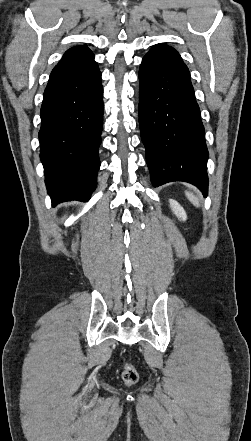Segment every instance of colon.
<instances>
[{
	"instance_id": "colon-1",
	"label": "colon",
	"mask_w": 251,
	"mask_h": 441,
	"mask_svg": "<svg viewBox=\"0 0 251 441\" xmlns=\"http://www.w3.org/2000/svg\"><path fill=\"white\" fill-rule=\"evenodd\" d=\"M138 377L139 376L136 368L130 363H125L122 372V379L124 383L131 386L138 381Z\"/></svg>"
}]
</instances>
